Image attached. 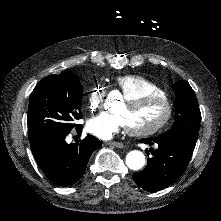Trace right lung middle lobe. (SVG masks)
I'll return each instance as SVG.
<instances>
[{
  "label": "right lung middle lobe",
  "mask_w": 221,
  "mask_h": 221,
  "mask_svg": "<svg viewBox=\"0 0 221 221\" xmlns=\"http://www.w3.org/2000/svg\"><path fill=\"white\" fill-rule=\"evenodd\" d=\"M83 88L78 77L69 71L43 78L29 98V142L36 139L65 135L78 128L81 119Z\"/></svg>",
  "instance_id": "obj_1"
}]
</instances>
